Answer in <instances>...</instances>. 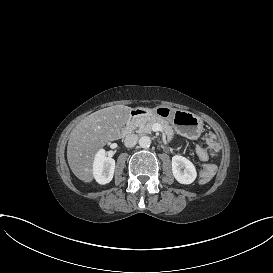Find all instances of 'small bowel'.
<instances>
[{"mask_svg":"<svg viewBox=\"0 0 273 273\" xmlns=\"http://www.w3.org/2000/svg\"><path fill=\"white\" fill-rule=\"evenodd\" d=\"M204 136H205L207 143L209 144L210 152L213 154L218 153L220 150V145H219V141L216 137L215 132L211 129H208L205 131ZM196 154L198 157H200L203 160L208 159L210 156L209 151L204 146L199 147L196 151Z\"/></svg>","mask_w":273,"mask_h":273,"instance_id":"obj_1","label":"small bowel"}]
</instances>
